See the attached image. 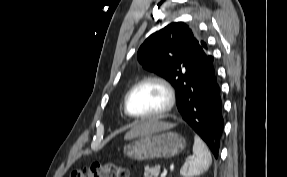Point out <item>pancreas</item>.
I'll return each mask as SVG.
<instances>
[{
    "mask_svg": "<svg viewBox=\"0 0 287 177\" xmlns=\"http://www.w3.org/2000/svg\"><path fill=\"white\" fill-rule=\"evenodd\" d=\"M160 172V167L155 166V167H145L144 169V177H158Z\"/></svg>",
    "mask_w": 287,
    "mask_h": 177,
    "instance_id": "obj_1",
    "label": "pancreas"
}]
</instances>
